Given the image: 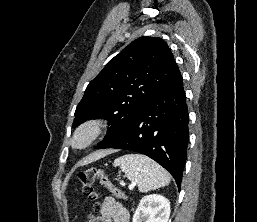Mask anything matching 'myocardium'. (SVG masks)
<instances>
[{
    "label": "myocardium",
    "instance_id": "1",
    "mask_svg": "<svg viewBox=\"0 0 257 222\" xmlns=\"http://www.w3.org/2000/svg\"><path fill=\"white\" fill-rule=\"evenodd\" d=\"M106 121L102 118H92L81 123L73 132L71 146L82 150L90 147L105 131ZM83 138L82 142H78Z\"/></svg>",
    "mask_w": 257,
    "mask_h": 222
}]
</instances>
